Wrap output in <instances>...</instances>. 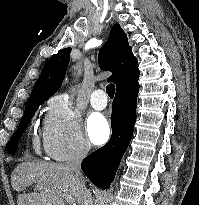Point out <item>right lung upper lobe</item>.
<instances>
[{"mask_svg":"<svg viewBox=\"0 0 199 205\" xmlns=\"http://www.w3.org/2000/svg\"><path fill=\"white\" fill-rule=\"evenodd\" d=\"M70 52L71 48L62 49L46 62L28 102L48 99L57 92L65 76ZM99 64L102 70L112 72L107 81L115 83L116 90L139 75L137 59L133 55L127 36L119 24L112 27L107 42L99 51Z\"/></svg>","mask_w":199,"mask_h":205,"instance_id":"right-lung-upper-lobe-1","label":"right lung upper lobe"}]
</instances>
